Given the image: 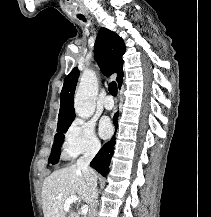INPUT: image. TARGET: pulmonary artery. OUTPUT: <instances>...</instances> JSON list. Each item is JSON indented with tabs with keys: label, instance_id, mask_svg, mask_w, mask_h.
Instances as JSON below:
<instances>
[{
	"label": "pulmonary artery",
	"instance_id": "e3ab8cb5",
	"mask_svg": "<svg viewBox=\"0 0 211 217\" xmlns=\"http://www.w3.org/2000/svg\"><path fill=\"white\" fill-rule=\"evenodd\" d=\"M103 107L106 110H111L114 107V102H113V98L111 96H106L104 101H103Z\"/></svg>",
	"mask_w": 211,
	"mask_h": 217
}]
</instances>
